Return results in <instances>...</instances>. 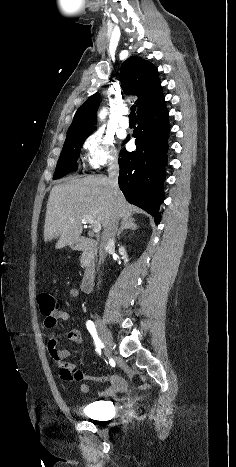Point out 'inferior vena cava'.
I'll use <instances>...</instances> for the list:
<instances>
[{"label": "inferior vena cava", "instance_id": "602c4592", "mask_svg": "<svg viewBox=\"0 0 236 467\" xmlns=\"http://www.w3.org/2000/svg\"><path fill=\"white\" fill-rule=\"evenodd\" d=\"M109 174V183L112 186L113 190L116 192L118 190V175L119 168L116 164L110 166L108 169ZM117 231V221L111 220L107 226L104 228L101 236L100 249H99V259L100 263H103L106 256L107 250L109 247L114 245L115 235Z\"/></svg>", "mask_w": 236, "mask_h": 467}]
</instances>
